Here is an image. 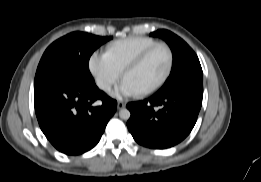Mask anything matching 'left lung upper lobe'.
<instances>
[{
  "label": "left lung upper lobe",
  "instance_id": "left-lung-upper-lobe-1",
  "mask_svg": "<svg viewBox=\"0 0 261 182\" xmlns=\"http://www.w3.org/2000/svg\"><path fill=\"white\" fill-rule=\"evenodd\" d=\"M163 38L173 53L170 76L158 94L172 92L188 84L203 82V72L195 52L180 37L168 30H157L150 34Z\"/></svg>",
  "mask_w": 261,
  "mask_h": 182
}]
</instances>
